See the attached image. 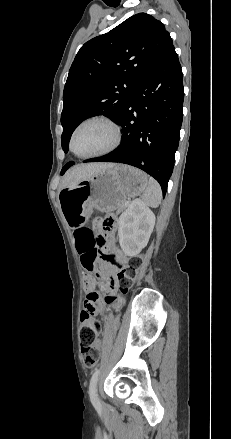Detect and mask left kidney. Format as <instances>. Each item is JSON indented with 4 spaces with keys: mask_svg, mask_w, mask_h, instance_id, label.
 Here are the masks:
<instances>
[{
    "mask_svg": "<svg viewBox=\"0 0 231 439\" xmlns=\"http://www.w3.org/2000/svg\"><path fill=\"white\" fill-rule=\"evenodd\" d=\"M119 242L127 256H136L148 244L155 225L154 213L140 200L131 202L119 217Z\"/></svg>",
    "mask_w": 231,
    "mask_h": 439,
    "instance_id": "left-kidney-1",
    "label": "left kidney"
}]
</instances>
